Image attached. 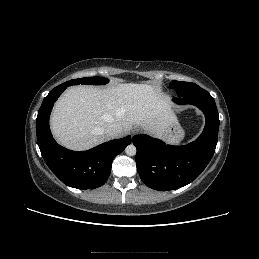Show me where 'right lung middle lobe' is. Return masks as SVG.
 I'll return each instance as SVG.
<instances>
[{
  "label": "right lung middle lobe",
  "mask_w": 259,
  "mask_h": 259,
  "mask_svg": "<svg viewBox=\"0 0 259 259\" xmlns=\"http://www.w3.org/2000/svg\"><path fill=\"white\" fill-rule=\"evenodd\" d=\"M107 82H108V79L102 78V77H86V78H80V79H73L63 84L67 86L78 85V84L102 85V84H106Z\"/></svg>",
  "instance_id": "right-lung-middle-lobe-1"
}]
</instances>
